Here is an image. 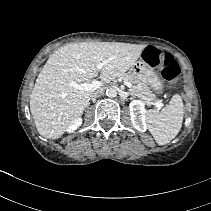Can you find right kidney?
<instances>
[{
  "instance_id": "ca27d5eb",
  "label": "right kidney",
  "mask_w": 211,
  "mask_h": 211,
  "mask_svg": "<svg viewBox=\"0 0 211 211\" xmlns=\"http://www.w3.org/2000/svg\"><path fill=\"white\" fill-rule=\"evenodd\" d=\"M81 124H82V119L78 118L68 127L67 132L69 133L74 132Z\"/></svg>"
}]
</instances>
